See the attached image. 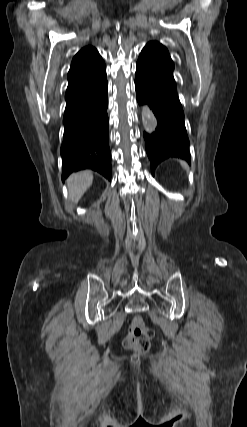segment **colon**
<instances>
[{
  "instance_id": "colon-1",
  "label": "colon",
  "mask_w": 247,
  "mask_h": 427,
  "mask_svg": "<svg viewBox=\"0 0 247 427\" xmlns=\"http://www.w3.org/2000/svg\"><path fill=\"white\" fill-rule=\"evenodd\" d=\"M143 335L144 338L140 336ZM154 332L148 328L141 317H135L129 328L128 335L123 340V346L140 353H146L150 349V340Z\"/></svg>"
}]
</instances>
